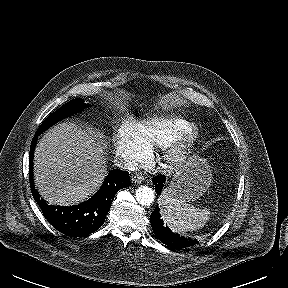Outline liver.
Here are the masks:
<instances>
[{"mask_svg":"<svg viewBox=\"0 0 288 288\" xmlns=\"http://www.w3.org/2000/svg\"><path fill=\"white\" fill-rule=\"evenodd\" d=\"M101 138L70 122L44 134L35 149L34 182L47 202L75 205L98 190L107 174Z\"/></svg>","mask_w":288,"mask_h":288,"instance_id":"obj_1","label":"liver"}]
</instances>
